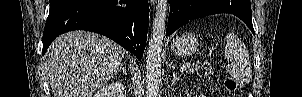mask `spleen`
Instances as JSON below:
<instances>
[{
    "label": "spleen",
    "instance_id": "spleen-1",
    "mask_svg": "<svg viewBox=\"0 0 302 97\" xmlns=\"http://www.w3.org/2000/svg\"><path fill=\"white\" fill-rule=\"evenodd\" d=\"M226 41L225 58L230 62L226 67L227 72L236 80L250 82L252 67L244 43L234 33H228Z\"/></svg>",
    "mask_w": 302,
    "mask_h": 97
}]
</instances>
